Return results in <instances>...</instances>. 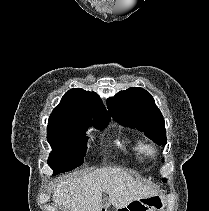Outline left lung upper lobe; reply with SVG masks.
I'll return each mask as SVG.
<instances>
[{"label": "left lung upper lobe", "mask_w": 209, "mask_h": 211, "mask_svg": "<svg viewBox=\"0 0 209 211\" xmlns=\"http://www.w3.org/2000/svg\"><path fill=\"white\" fill-rule=\"evenodd\" d=\"M108 108L117 122L145 132L158 145L166 144L164 118L146 90L132 87L121 91L108 99Z\"/></svg>", "instance_id": "obj_1"}]
</instances>
